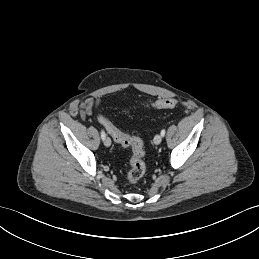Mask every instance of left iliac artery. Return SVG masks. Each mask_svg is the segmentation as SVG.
I'll list each match as a JSON object with an SVG mask.
<instances>
[{
	"instance_id": "left-iliac-artery-1",
	"label": "left iliac artery",
	"mask_w": 259,
	"mask_h": 259,
	"mask_svg": "<svg viewBox=\"0 0 259 259\" xmlns=\"http://www.w3.org/2000/svg\"><path fill=\"white\" fill-rule=\"evenodd\" d=\"M161 135H162V137H164V135H165V129H162Z\"/></svg>"
}]
</instances>
